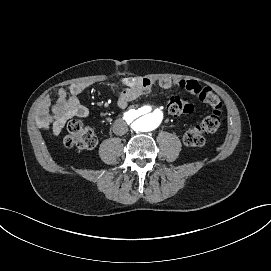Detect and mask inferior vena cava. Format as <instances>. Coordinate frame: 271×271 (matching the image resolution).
I'll use <instances>...</instances> for the list:
<instances>
[{
	"label": "inferior vena cava",
	"mask_w": 271,
	"mask_h": 271,
	"mask_svg": "<svg viewBox=\"0 0 271 271\" xmlns=\"http://www.w3.org/2000/svg\"><path fill=\"white\" fill-rule=\"evenodd\" d=\"M112 130L116 135H123L127 133L128 127L122 120H116L112 125Z\"/></svg>",
	"instance_id": "obj_1"
}]
</instances>
